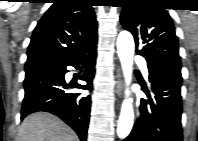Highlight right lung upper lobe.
<instances>
[{
    "instance_id": "cb5924a9",
    "label": "right lung upper lobe",
    "mask_w": 198,
    "mask_h": 141,
    "mask_svg": "<svg viewBox=\"0 0 198 141\" xmlns=\"http://www.w3.org/2000/svg\"><path fill=\"white\" fill-rule=\"evenodd\" d=\"M97 38V21L88 0H56L34 29L25 71L73 57Z\"/></svg>"
}]
</instances>
